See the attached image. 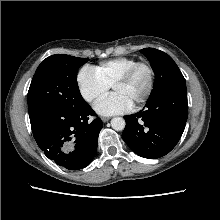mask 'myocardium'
Listing matches in <instances>:
<instances>
[{"instance_id":"f54148a6","label":"myocardium","mask_w":220,"mask_h":220,"mask_svg":"<svg viewBox=\"0 0 220 220\" xmlns=\"http://www.w3.org/2000/svg\"><path fill=\"white\" fill-rule=\"evenodd\" d=\"M140 68H145L148 71L149 75V82L146 89V92L144 95L138 99L133 105L140 106L144 104L152 95L154 86H155V69L154 67L147 61L137 62L133 66H131L120 78H118L114 84L112 85V88L114 89L117 86L124 85L128 83L136 74V72Z\"/></svg>"}]
</instances>
